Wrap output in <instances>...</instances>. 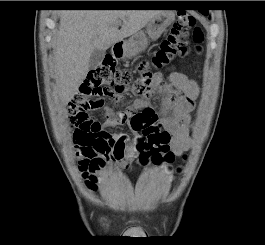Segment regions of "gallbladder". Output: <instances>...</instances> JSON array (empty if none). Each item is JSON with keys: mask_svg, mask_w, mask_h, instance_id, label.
<instances>
[{"mask_svg": "<svg viewBox=\"0 0 265 245\" xmlns=\"http://www.w3.org/2000/svg\"><path fill=\"white\" fill-rule=\"evenodd\" d=\"M105 56V51L101 49H95L89 58V68L95 69L97 68L101 62L103 61V58Z\"/></svg>", "mask_w": 265, "mask_h": 245, "instance_id": "1", "label": "gallbladder"}]
</instances>
